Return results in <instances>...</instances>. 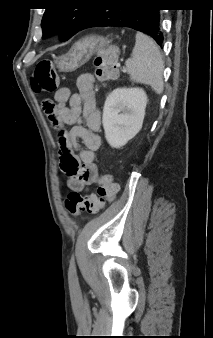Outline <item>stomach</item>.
<instances>
[{
    "mask_svg": "<svg viewBox=\"0 0 213 338\" xmlns=\"http://www.w3.org/2000/svg\"><path fill=\"white\" fill-rule=\"evenodd\" d=\"M103 37L89 36L76 42L68 53L57 58V68L61 72H73L84 65L101 48L108 45Z\"/></svg>",
    "mask_w": 213,
    "mask_h": 338,
    "instance_id": "0dacf381",
    "label": "stomach"
}]
</instances>
